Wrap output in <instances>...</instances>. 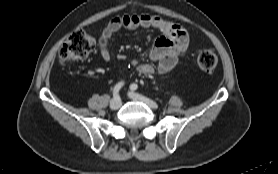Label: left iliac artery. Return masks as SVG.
I'll list each match as a JSON object with an SVG mask.
<instances>
[{"instance_id": "obj_1", "label": "left iliac artery", "mask_w": 278, "mask_h": 174, "mask_svg": "<svg viewBox=\"0 0 278 174\" xmlns=\"http://www.w3.org/2000/svg\"><path fill=\"white\" fill-rule=\"evenodd\" d=\"M137 88H138V85L135 84V83L130 85V89L133 90V91L137 90Z\"/></svg>"}]
</instances>
